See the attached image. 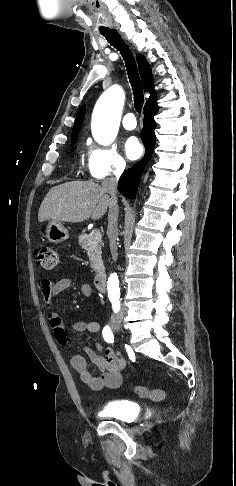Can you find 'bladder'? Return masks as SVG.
Returning a JSON list of instances; mask_svg holds the SVG:
<instances>
[{"label": "bladder", "instance_id": "31cf9c89", "mask_svg": "<svg viewBox=\"0 0 236 486\" xmlns=\"http://www.w3.org/2000/svg\"><path fill=\"white\" fill-rule=\"evenodd\" d=\"M139 413V405L133 401L117 400L109 402L102 409V415L121 421H132Z\"/></svg>", "mask_w": 236, "mask_h": 486}]
</instances>
